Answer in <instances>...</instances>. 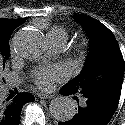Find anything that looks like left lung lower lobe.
Wrapping results in <instances>:
<instances>
[{
  "instance_id": "1",
  "label": "left lung lower lobe",
  "mask_w": 125,
  "mask_h": 125,
  "mask_svg": "<svg viewBox=\"0 0 125 125\" xmlns=\"http://www.w3.org/2000/svg\"><path fill=\"white\" fill-rule=\"evenodd\" d=\"M60 93L70 95L64 86ZM119 99L118 95L85 98L84 106L78 107V113L68 121L58 122V125H107L116 111Z\"/></svg>"
}]
</instances>
